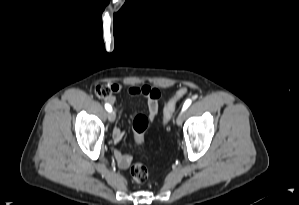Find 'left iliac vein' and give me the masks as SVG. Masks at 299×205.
Instances as JSON below:
<instances>
[{
	"label": "left iliac vein",
	"instance_id": "left-iliac-vein-1",
	"mask_svg": "<svg viewBox=\"0 0 299 205\" xmlns=\"http://www.w3.org/2000/svg\"><path fill=\"white\" fill-rule=\"evenodd\" d=\"M182 114H183V112H181V113L178 115V117H177L176 122H177L178 125H181V123H182Z\"/></svg>",
	"mask_w": 299,
	"mask_h": 205
}]
</instances>
